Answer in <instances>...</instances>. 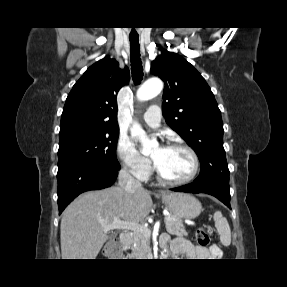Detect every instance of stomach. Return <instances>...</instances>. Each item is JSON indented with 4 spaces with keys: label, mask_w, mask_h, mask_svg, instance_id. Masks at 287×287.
<instances>
[{
    "label": "stomach",
    "mask_w": 287,
    "mask_h": 287,
    "mask_svg": "<svg viewBox=\"0 0 287 287\" xmlns=\"http://www.w3.org/2000/svg\"><path fill=\"white\" fill-rule=\"evenodd\" d=\"M161 197L165 207L179 218L191 220L201 213V203L190 194L166 191Z\"/></svg>",
    "instance_id": "stomach-1"
}]
</instances>
